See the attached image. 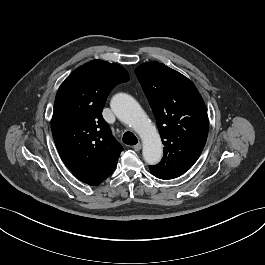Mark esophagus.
<instances>
[{"label":"esophagus","mask_w":265,"mask_h":265,"mask_svg":"<svg viewBox=\"0 0 265 265\" xmlns=\"http://www.w3.org/2000/svg\"><path fill=\"white\" fill-rule=\"evenodd\" d=\"M141 148H142V144H141V143H138V144H136V145L133 146V149H134L135 151H140Z\"/></svg>","instance_id":"34e87169"}]
</instances>
